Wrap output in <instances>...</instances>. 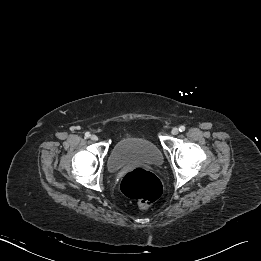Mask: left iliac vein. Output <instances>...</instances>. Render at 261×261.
<instances>
[{
    "instance_id": "4c4485c4",
    "label": "left iliac vein",
    "mask_w": 261,
    "mask_h": 261,
    "mask_svg": "<svg viewBox=\"0 0 261 261\" xmlns=\"http://www.w3.org/2000/svg\"><path fill=\"white\" fill-rule=\"evenodd\" d=\"M171 133L173 135H177L179 133V129L175 127V128L172 129Z\"/></svg>"
}]
</instances>
